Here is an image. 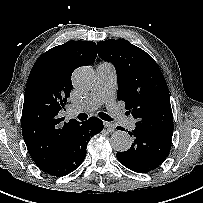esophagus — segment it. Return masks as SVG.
Returning <instances> with one entry per match:
<instances>
[{
    "label": "esophagus",
    "instance_id": "esophagus-1",
    "mask_svg": "<svg viewBox=\"0 0 203 203\" xmlns=\"http://www.w3.org/2000/svg\"><path fill=\"white\" fill-rule=\"evenodd\" d=\"M103 124H104V127L108 129L110 132L115 130V125L113 123L104 121Z\"/></svg>",
    "mask_w": 203,
    "mask_h": 203
}]
</instances>
